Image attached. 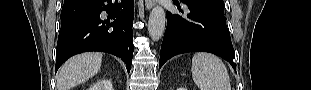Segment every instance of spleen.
Here are the masks:
<instances>
[{"mask_svg":"<svg viewBox=\"0 0 311 90\" xmlns=\"http://www.w3.org/2000/svg\"><path fill=\"white\" fill-rule=\"evenodd\" d=\"M191 72L200 90H231L226 66L213 54L196 53L192 58Z\"/></svg>","mask_w":311,"mask_h":90,"instance_id":"obj_1","label":"spleen"}]
</instances>
